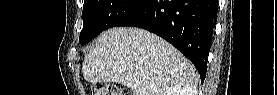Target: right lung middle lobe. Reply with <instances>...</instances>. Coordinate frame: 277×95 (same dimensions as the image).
Masks as SVG:
<instances>
[{"instance_id": "dd1d6c3e", "label": "right lung middle lobe", "mask_w": 277, "mask_h": 95, "mask_svg": "<svg viewBox=\"0 0 277 95\" xmlns=\"http://www.w3.org/2000/svg\"><path fill=\"white\" fill-rule=\"evenodd\" d=\"M143 0H84L82 45L90 42L102 31L116 26Z\"/></svg>"}]
</instances>
